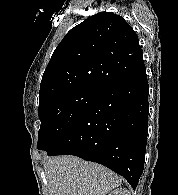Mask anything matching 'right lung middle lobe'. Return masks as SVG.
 Segmentation results:
<instances>
[{"mask_svg":"<svg viewBox=\"0 0 178 195\" xmlns=\"http://www.w3.org/2000/svg\"><path fill=\"white\" fill-rule=\"evenodd\" d=\"M98 90L80 89L52 96L39 103L41 127L37 149L51 152L92 106Z\"/></svg>","mask_w":178,"mask_h":195,"instance_id":"obj_1","label":"right lung middle lobe"}]
</instances>
